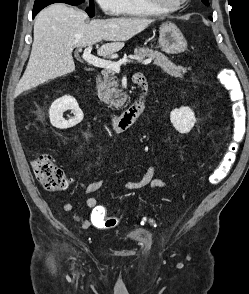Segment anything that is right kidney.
Returning <instances> with one entry per match:
<instances>
[{
	"instance_id": "right-kidney-1",
	"label": "right kidney",
	"mask_w": 249,
	"mask_h": 294,
	"mask_svg": "<svg viewBox=\"0 0 249 294\" xmlns=\"http://www.w3.org/2000/svg\"><path fill=\"white\" fill-rule=\"evenodd\" d=\"M72 110L74 117L68 120L63 118V113ZM83 112L79 108L77 101L72 96H63L54 101L49 109L51 124L58 129L71 128L83 120Z\"/></svg>"
}]
</instances>
